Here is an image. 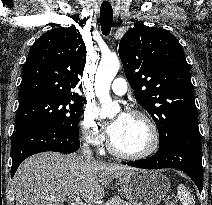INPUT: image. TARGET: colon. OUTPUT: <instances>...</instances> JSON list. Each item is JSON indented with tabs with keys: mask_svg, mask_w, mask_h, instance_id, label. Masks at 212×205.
<instances>
[{
	"mask_svg": "<svg viewBox=\"0 0 212 205\" xmlns=\"http://www.w3.org/2000/svg\"><path fill=\"white\" fill-rule=\"evenodd\" d=\"M167 205H175V201L173 198H170L167 202Z\"/></svg>",
	"mask_w": 212,
	"mask_h": 205,
	"instance_id": "1",
	"label": "colon"
}]
</instances>
